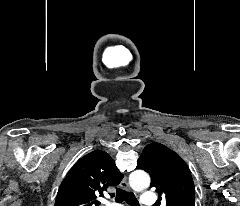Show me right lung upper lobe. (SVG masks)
Here are the masks:
<instances>
[{
	"label": "right lung upper lobe",
	"instance_id": "cb5924a9",
	"mask_svg": "<svg viewBox=\"0 0 240 206\" xmlns=\"http://www.w3.org/2000/svg\"><path fill=\"white\" fill-rule=\"evenodd\" d=\"M123 179L108 153L95 150L69 171L58 190L55 206H97L96 198Z\"/></svg>",
	"mask_w": 240,
	"mask_h": 206
}]
</instances>
